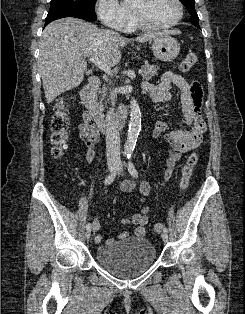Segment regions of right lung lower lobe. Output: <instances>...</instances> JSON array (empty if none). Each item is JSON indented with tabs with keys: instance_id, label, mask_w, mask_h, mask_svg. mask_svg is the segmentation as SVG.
Listing matches in <instances>:
<instances>
[{
	"instance_id": "obj_1",
	"label": "right lung lower lobe",
	"mask_w": 245,
	"mask_h": 314,
	"mask_svg": "<svg viewBox=\"0 0 245 314\" xmlns=\"http://www.w3.org/2000/svg\"><path fill=\"white\" fill-rule=\"evenodd\" d=\"M64 17H75V18H80V19H85V20H96L97 18L96 15L86 14L82 12H72V11L56 12V13H50L47 15L45 26L56 19H60Z\"/></svg>"
}]
</instances>
